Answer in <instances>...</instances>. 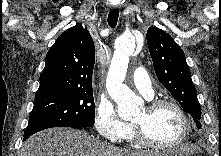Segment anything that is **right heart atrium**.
<instances>
[{
	"mask_svg": "<svg viewBox=\"0 0 221 156\" xmlns=\"http://www.w3.org/2000/svg\"><path fill=\"white\" fill-rule=\"evenodd\" d=\"M94 125L102 137L112 142L125 139L130 131V125L120 119L114 103L103 95L96 101Z\"/></svg>",
	"mask_w": 221,
	"mask_h": 156,
	"instance_id": "right-heart-atrium-1",
	"label": "right heart atrium"
}]
</instances>
